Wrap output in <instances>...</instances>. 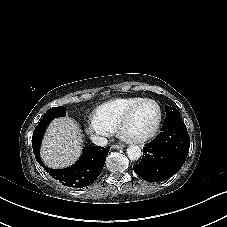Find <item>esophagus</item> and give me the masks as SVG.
Wrapping results in <instances>:
<instances>
[{
  "label": "esophagus",
  "mask_w": 227,
  "mask_h": 227,
  "mask_svg": "<svg viewBox=\"0 0 227 227\" xmlns=\"http://www.w3.org/2000/svg\"><path fill=\"white\" fill-rule=\"evenodd\" d=\"M124 147H125L124 144H113V145L111 146V148H113V149H119V148H124Z\"/></svg>",
  "instance_id": "34e87169"
}]
</instances>
